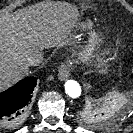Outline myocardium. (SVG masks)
I'll return each instance as SVG.
<instances>
[{
  "mask_svg": "<svg viewBox=\"0 0 133 133\" xmlns=\"http://www.w3.org/2000/svg\"><path fill=\"white\" fill-rule=\"evenodd\" d=\"M102 42V32L94 28L89 33L84 45L77 53L76 61L79 65L88 64L98 52Z\"/></svg>",
  "mask_w": 133,
  "mask_h": 133,
  "instance_id": "myocardium-1",
  "label": "myocardium"
}]
</instances>
